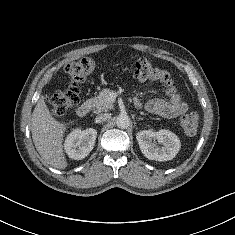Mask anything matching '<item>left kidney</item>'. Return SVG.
Returning a JSON list of instances; mask_svg holds the SVG:
<instances>
[{"instance_id":"left-kidney-1","label":"left kidney","mask_w":235,"mask_h":235,"mask_svg":"<svg viewBox=\"0 0 235 235\" xmlns=\"http://www.w3.org/2000/svg\"><path fill=\"white\" fill-rule=\"evenodd\" d=\"M136 139L141 152L149 160H172L180 149L179 138L173 132L165 129L158 132L140 131L137 133ZM156 140L161 146L157 144Z\"/></svg>"}]
</instances>
